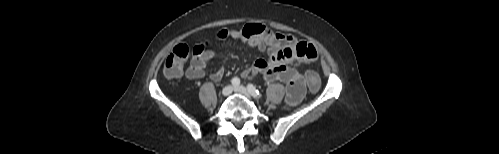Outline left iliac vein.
I'll use <instances>...</instances> for the list:
<instances>
[{"mask_svg":"<svg viewBox=\"0 0 499 154\" xmlns=\"http://www.w3.org/2000/svg\"><path fill=\"white\" fill-rule=\"evenodd\" d=\"M234 91L237 92V93H239V94H242V95H244V96H246L248 98L251 97L250 92L244 86H236L234 88Z\"/></svg>","mask_w":499,"mask_h":154,"instance_id":"obj_1","label":"left iliac vein"}]
</instances>
